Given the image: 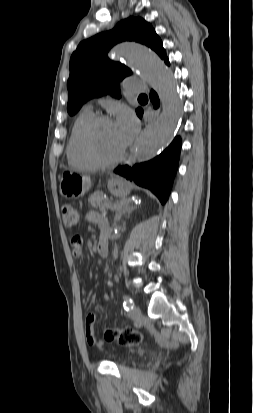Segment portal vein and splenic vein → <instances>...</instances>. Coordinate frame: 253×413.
Instances as JSON below:
<instances>
[{"mask_svg": "<svg viewBox=\"0 0 253 413\" xmlns=\"http://www.w3.org/2000/svg\"><path fill=\"white\" fill-rule=\"evenodd\" d=\"M122 206V204H118V205H112V204H109L108 206H107V208L108 209H110V210H113V209H119L120 207Z\"/></svg>", "mask_w": 253, "mask_h": 413, "instance_id": "portal-vein-and-splenic-vein-1", "label": "portal vein and splenic vein"}]
</instances>
